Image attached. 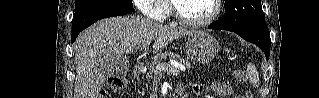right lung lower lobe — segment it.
Listing matches in <instances>:
<instances>
[{
  "instance_id": "obj_1",
  "label": "right lung lower lobe",
  "mask_w": 319,
  "mask_h": 98,
  "mask_svg": "<svg viewBox=\"0 0 319 98\" xmlns=\"http://www.w3.org/2000/svg\"><path fill=\"white\" fill-rule=\"evenodd\" d=\"M133 11V8L105 7L75 13L72 20V43L83 29L97 20L111 16H122Z\"/></svg>"
}]
</instances>
